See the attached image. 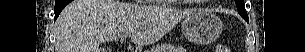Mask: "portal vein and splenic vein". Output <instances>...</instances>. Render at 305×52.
Returning a JSON list of instances; mask_svg holds the SVG:
<instances>
[{
    "label": "portal vein and splenic vein",
    "mask_w": 305,
    "mask_h": 52,
    "mask_svg": "<svg viewBox=\"0 0 305 52\" xmlns=\"http://www.w3.org/2000/svg\"><path fill=\"white\" fill-rule=\"evenodd\" d=\"M130 36H131L130 34L125 33V34H123V35L120 37V41L122 42V41H124L127 37H130Z\"/></svg>",
    "instance_id": "18ae733b"
}]
</instances>
